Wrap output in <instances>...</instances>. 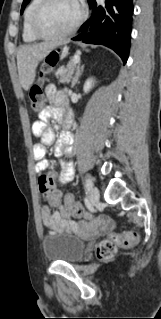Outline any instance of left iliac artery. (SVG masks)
<instances>
[{
	"label": "left iliac artery",
	"instance_id": "44dca946",
	"mask_svg": "<svg viewBox=\"0 0 161 319\" xmlns=\"http://www.w3.org/2000/svg\"><path fill=\"white\" fill-rule=\"evenodd\" d=\"M92 186H93L92 180L87 178L85 180V189L89 191L92 188Z\"/></svg>",
	"mask_w": 161,
	"mask_h": 319
}]
</instances>
